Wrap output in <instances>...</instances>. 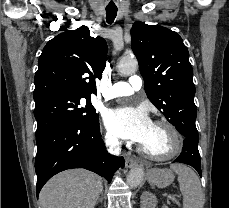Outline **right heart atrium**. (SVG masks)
<instances>
[{"mask_svg": "<svg viewBox=\"0 0 229 208\" xmlns=\"http://www.w3.org/2000/svg\"><path fill=\"white\" fill-rule=\"evenodd\" d=\"M104 141L106 145L112 148L117 147L120 144V141L118 140V138L109 132L105 133Z\"/></svg>", "mask_w": 229, "mask_h": 208, "instance_id": "1", "label": "right heart atrium"}]
</instances>
